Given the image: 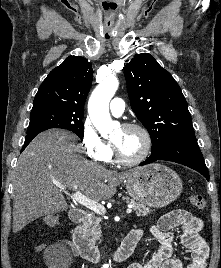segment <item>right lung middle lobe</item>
<instances>
[{
  "label": "right lung middle lobe",
  "instance_id": "dd1d6c3e",
  "mask_svg": "<svg viewBox=\"0 0 221 268\" xmlns=\"http://www.w3.org/2000/svg\"><path fill=\"white\" fill-rule=\"evenodd\" d=\"M83 116V112L64 109L31 111L27 135L39 134L50 128H62L74 132L80 139H83Z\"/></svg>",
  "mask_w": 221,
  "mask_h": 268
}]
</instances>
